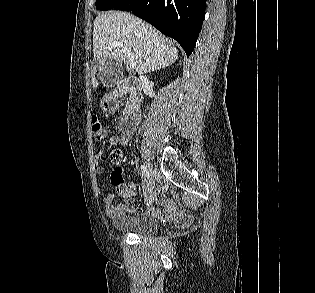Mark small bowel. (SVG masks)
<instances>
[{"mask_svg":"<svg viewBox=\"0 0 315 293\" xmlns=\"http://www.w3.org/2000/svg\"><path fill=\"white\" fill-rule=\"evenodd\" d=\"M130 135L121 133L113 136L110 139L111 145H125L129 142ZM103 150H100L97 157L102 154ZM128 188L133 190H124L123 197L125 202H114V196L112 194H105L103 197L105 203V211L108 215L114 216L119 215L132 207V202H136L138 187L135 184H127ZM97 189L100 192H104V188L100 182H97ZM146 196L149 202L148 213L151 216L157 217L164 221L177 220L180 225H187L191 219L184 214L172 200H167L162 194L161 190L156 189L150 191L146 190Z\"/></svg>","mask_w":315,"mask_h":293,"instance_id":"obj_1","label":"small bowel"}]
</instances>
